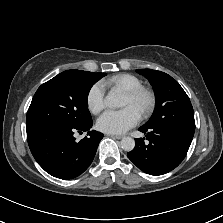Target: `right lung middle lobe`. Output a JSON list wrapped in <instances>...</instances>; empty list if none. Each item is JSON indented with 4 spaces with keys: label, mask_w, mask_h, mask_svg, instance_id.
Instances as JSON below:
<instances>
[{
    "label": "right lung middle lobe",
    "mask_w": 223,
    "mask_h": 223,
    "mask_svg": "<svg viewBox=\"0 0 223 223\" xmlns=\"http://www.w3.org/2000/svg\"><path fill=\"white\" fill-rule=\"evenodd\" d=\"M105 75L67 70L42 84L27 112V133L56 126H83L90 123L88 94L93 84Z\"/></svg>",
    "instance_id": "1"
}]
</instances>
